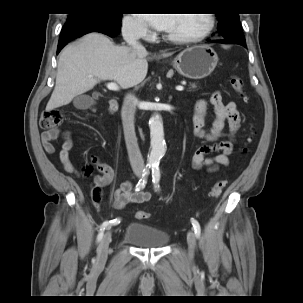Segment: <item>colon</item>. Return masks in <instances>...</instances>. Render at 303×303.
Listing matches in <instances>:
<instances>
[{
    "label": "colon",
    "mask_w": 303,
    "mask_h": 303,
    "mask_svg": "<svg viewBox=\"0 0 303 303\" xmlns=\"http://www.w3.org/2000/svg\"><path fill=\"white\" fill-rule=\"evenodd\" d=\"M230 84L232 88L238 93L239 97L243 101H247V96L245 93V84L243 79L238 75H232L230 77ZM63 123V114L57 109L46 110L43 112L40 120V125L46 129L58 128ZM91 168L87 167L85 169L86 174L91 173ZM226 181L224 179L218 180L211 188L209 196L212 199L218 198L225 187ZM93 200L96 202L100 201V190L95 188L92 193ZM136 218L138 220H147L150 218V213L146 210H140L136 213Z\"/></svg>",
    "instance_id": "5ec220e1"
}]
</instances>
